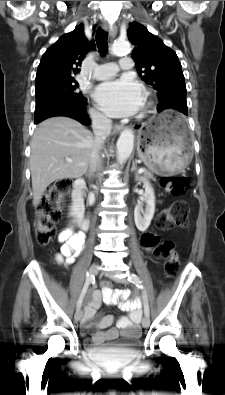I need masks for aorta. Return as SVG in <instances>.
Returning <instances> with one entry per match:
<instances>
[{
    "label": "aorta",
    "instance_id": "obj_1",
    "mask_svg": "<svg viewBox=\"0 0 225 395\" xmlns=\"http://www.w3.org/2000/svg\"><path fill=\"white\" fill-rule=\"evenodd\" d=\"M113 54H128L131 52L130 43L126 40H117L112 45ZM117 160L120 164L124 163L132 153L134 146V134L130 129L121 132L117 141Z\"/></svg>",
    "mask_w": 225,
    "mask_h": 395
}]
</instances>
